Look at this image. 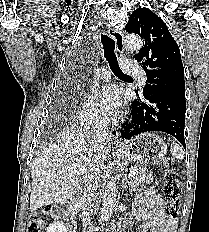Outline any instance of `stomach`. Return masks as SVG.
Segmentation results:
<instances>
[{
  "instance_id": "obj_1",
  "label": "stomach",
  "mask_w": 209,
  "mask_h": 232,
  "mask_svg": "<svg viewBox=\"0 0 209 232\" xmlns=\"http://www.w3.org/2000/svg\"><path fill=\"white\" fill-rule=\"evenodd\" d=\"M120 150L130 161L157 165L166 155L167 145L160 136L144 133L127 141Z\"/></svg>"
}]
</instances>
